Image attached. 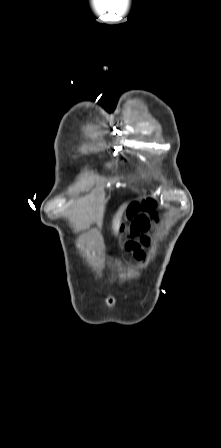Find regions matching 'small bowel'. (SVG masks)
<instances>
[{
    "label": "small bowel",
    "instance_id": "1",
    "mask_svg": "<svg viewBox=\"0 0 221 448\" xmlns=\"http://www.w3.org/2000/svg\"><path fill=\"white\" fill-rule=\"evenodd\" d=\"M137 219L144 220V222H145L144 226H138L136 224V220ZM148 225H149V217L146 214H144V213H142V214L134 213V215L131 217V225H130V228H129V234L131 236L138 235L140 232L144 231L148 227ZM126 247L128 249H133L134 245H133V243L129 242V243L126 244Z\"/></svg>",
    "mask_w": 221,
    "mask_h": 448
}]
</instances>
